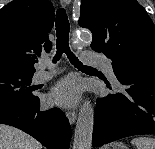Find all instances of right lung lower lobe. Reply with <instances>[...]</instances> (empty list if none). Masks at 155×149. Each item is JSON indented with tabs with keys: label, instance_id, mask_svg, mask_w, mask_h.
I'll return each mask as SVG.
<instances>
[{
	"label": "right lung lower lobe",
	"instance_id": "obj_1",
	"mask_svg": "<svg viewBox=\"0 0 155 149\" xmlns=\"http://www.w3.org/2000/svg\"><path fill=\"white\" fill-rule=\"evenodd\" d=\"M0 124L21 129L48 149L69 148L72 131L65 114L58 108L41 111L38 97L0 102Z\"/></svg>",
	"mask_w": 155,
	"mask_h": 149
}]
</instances>
